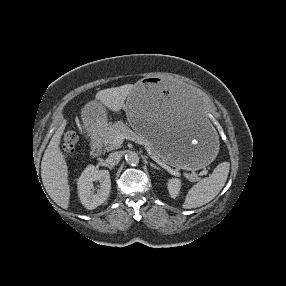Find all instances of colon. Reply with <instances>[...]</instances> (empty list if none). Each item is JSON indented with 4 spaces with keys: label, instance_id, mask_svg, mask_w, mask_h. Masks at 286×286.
I'll use <instances>...</instances> for the list:
<instances>
[{
    "label": "colon",
    "instance_id": "colon-1",
    "mask_svg": "<svg viewBox=\"0 0 286 286\" xmlns=\"http://www.w3.org/2000/svg\"><path fill=\"white\" fill-rule=\"evenodd\" d=\"M77 141H78V136L75 130L72 128L68 129L62 137L61 147L63 152L66 154L71 153L74 150Z\"/></svg>",
    "mask_w": 286,
    "mask_h": 286
}]
</instances>
